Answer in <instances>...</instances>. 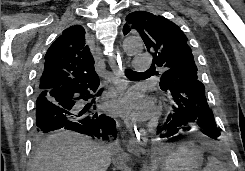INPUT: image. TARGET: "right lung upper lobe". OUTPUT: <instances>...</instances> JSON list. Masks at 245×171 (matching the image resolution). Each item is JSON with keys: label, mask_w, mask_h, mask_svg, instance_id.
Returning a JSON list of instances; mask_svg holds the SVG:
<instances>
[{"label": "right lung upper lobe", "mask_w": 245, "mask_h": 171, "mask_svg": "<svg viewBox=\"0 0 245 171\" xmlns=\"http://www.w3.org/2000/svg\"><path fill=\"white\" fill-rule=\"evenodd\" d=\"M98 80L85 30L81 25H74L65 29L49 47L36 89L45 91L68 84Z\"/></svg>", "instance_id": "obj_1"}]
</instances>
